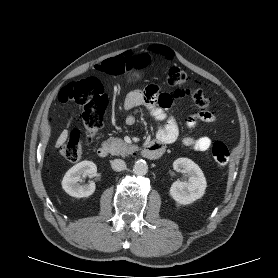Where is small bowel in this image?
Segmentation results:
<instances>
[{
  "label": "small bowel",
  "mask_w": 278,
  "mask_h": 278,
  "mask_svg": "<svg viewBox=\"0 0 278 278\" xmlns=\"http://www.w3.org/2000/svg\"><path fill=\"white\" fill-rule=\"evenodd\" d=\"M172 102V95L162 93L157 85L151 84L145 90H134L130 92L124 101L123 110L125 112L138 106H145L150 111L153 118L162 123L157 131V140L163 145L175 142L179 136V126L175 117L167 115L164 108L169 107ZM216 120V115L206 109L192 114L186 121V126L192 129L198 122L211 123ZM127 125L135 123L133 115H127L125 118ZM184 145L195 151L205 152L211 148L212 140L207 136L193 137L185 136Z\"/></svg>",
  "instance_id": "1"
}]
</instances>
